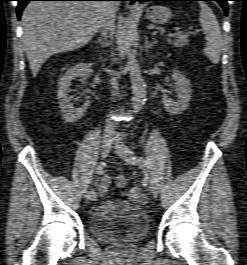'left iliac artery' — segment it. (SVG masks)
<instances>
[{
    "instance_id": "left-iliac-artery-1",
    "label": "left iliac artery",
    "mask_w": 247,
    "mask_h": 265,
    "mask_svg": "<svg viewBox=\"0 0 247 265\" xmlns=\"http://www.w3.org/2000/svg\"><path fill=\"white\" fill-rule=\"evenodd\" d=\"M138 161H140L141 163H145V160H144L143 157H139V158H138Z\"/></svg>"
}]
</instances>
